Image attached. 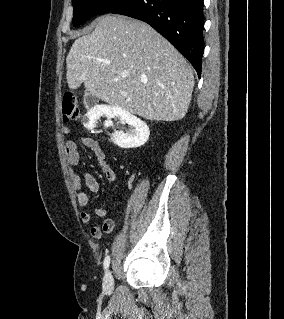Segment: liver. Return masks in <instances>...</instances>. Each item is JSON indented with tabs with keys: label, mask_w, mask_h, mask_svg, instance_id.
Here are the masks:
<instances>
[{
	"label": "liver",
	"mask_w": 284,
	"mask_h": 319,
	"mask_svg": "<svg viewBox=\"0 0 284 319\" xmlns=\"http://www.w3.org/2000/svg\"><path fill=\"white\" fill-rule=\"evenodd\" d=\"M66 64L70 89L83 83L87 95L131 114L177 121L188 111L192 68L144 22L121 15L100 17L92 33L74 41Z\"/></svg>",
	"instance_id": "liver-1"
}]
</instances>
